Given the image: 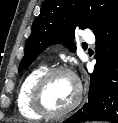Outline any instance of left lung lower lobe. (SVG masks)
Instances as JSON below:
<instances>
[{
	"label": "left lung lower lobe",
	"instance_id": "obj_1",
	"mask_svg": "<svg viewBox=\"0 0 118 123\" xmlns=\"http://www.w3.org/2000/svg\"><path fill=\"white\" fill-rule=\"evenodd\" d=\"M96 36V65L87 103L65 123H118V15Z\"/></svg>",
	"mask_w": 118,
	"mask_h": 123
}]
</instances>
